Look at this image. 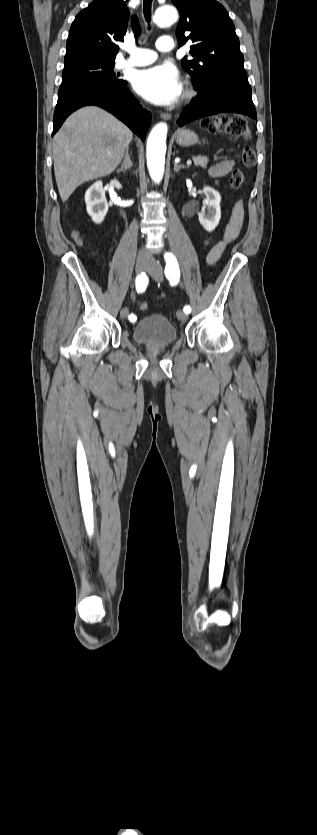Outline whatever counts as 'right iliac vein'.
Listing matches in <instances>:
<instances>
[{
  "label": "right iliac vein",
  "mask_w": 317,
  "mask_h": 835,
  "mask_svg": "<svg viewBox=\"0 0 317 835\" xmlns=\"http://www.w3.org/2000/svg\"><path fill=\"white\" fill-rule=\"evenodd\" d=\"M148 263L149 262H148L147 258L142 257V256L138 257L137 260H136V266H135L136 272L137 273L143 272L147 268ZM128 314H129V309L128 308H123L120 311V317L122 319L126 318L128 316Z\"/></svg>",
  "instance_id": "right-iliac-vein-1"
}]
</instances>
